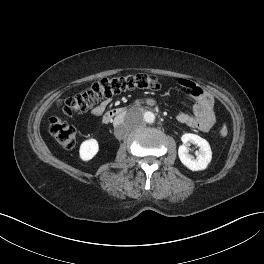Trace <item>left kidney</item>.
<instances>
[{"label":"left kidney","instance_id":"1","mask_svg":"<svg viewBox=\"0 0 264 264\" xmlns=\"http://www.w3.org/2000/svg\"><path fill=\"white\" fill-rule=\"evenodd\" d=\"M181 140L183 144L179 146L178 155L180 161L190 170L199 171L207 168L212 159V151L209 143L200 136L192 133H185L182 135ZM189 143L199 146V153L196 159L189 155Z\"/></svg>","mask_w":264,"mask_h":264}]
</instances>
